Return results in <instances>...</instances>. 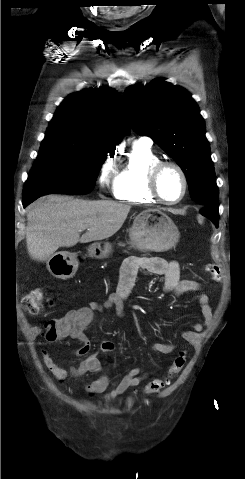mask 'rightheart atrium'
<instances>
[{
  "label": "right heart atrium",
  "instance_id": "d8ad5b80",
  "mask_svg": "<svg viewBox=\"0 0 245 479\" xmlns=\"http://www.w3.org/2000/svg\"><path fill=\"white\" fill-rule=\"evenodd\" d=\"M114 161L107 158L101 165L98 176V183L101 189H106L110 186L114 177Z\"/></svg>",
  "mask_w": 245,
  "mask_h": 479
}]
</instances>
